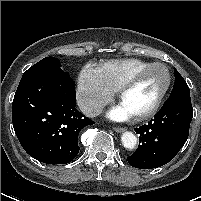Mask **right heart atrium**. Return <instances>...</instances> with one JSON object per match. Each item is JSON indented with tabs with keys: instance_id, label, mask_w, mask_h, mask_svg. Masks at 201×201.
I'll use <instances>...</instances> for the list:
<instances>
[{
	"instance_id": "d8ad5b80",
	"label": "right heart atrium",
	"mask_w": 201,
	"mask_h": 201,
	"mask_svg": "<svg viewBox=\"0 0 201 201\" xmlns=\"http://www.w3.org/2000/svg\"><path fill=\"white\" fill-rule=\"evenodd\" d=\"M114 96V91L103 81L97 68L87 65L79 74L77 102L84 114L96 116Z\"/></svg>"
}]
</instances>
